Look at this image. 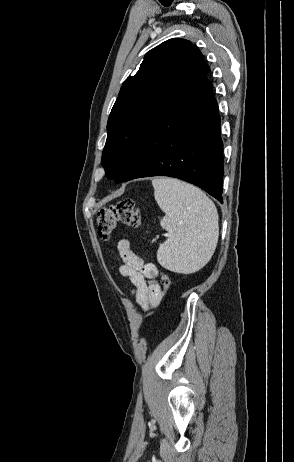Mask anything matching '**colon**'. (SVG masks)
<instances>
[{
    "label": "colon",
    "instance_id": "1",
    "mask_svg": "<svg viewBox=\"0 0 294 462\" xmlns=\"http://www.w3.org/2000/svg\"><path fill=\"white\" fill-rule=\"evenodd\" d=\"M140 223V215L135 202L131 199H123L108 207L101 208L97 214V233L106 240L119 224L136 227ZM162 285L167 290L171 285V278L163 275Z\"/></svg>",
    "mask_w": 294,
    "mask_h": 462
}]
</instances>
